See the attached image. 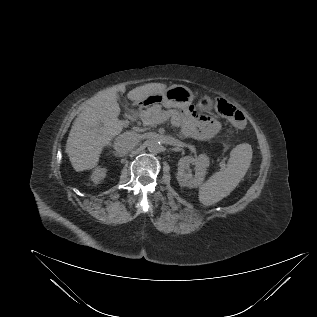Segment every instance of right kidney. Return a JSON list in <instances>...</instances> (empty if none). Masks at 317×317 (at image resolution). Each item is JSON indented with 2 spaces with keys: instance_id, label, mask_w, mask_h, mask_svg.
<instances>
[{
  "instance_id": "right-kidney-1",
  "label": "right kidney",
  "mask_w": 317,
  "mask_h": 317,
  "mask_svg": "<svg viewBox=\"0 0 317 317\" xmlns=\"http://www.w3.org/2000/svg\"><path fill=\"white\" fill-rule=\"evenodd\" d=\"M107 169L102 168V167H97L94 169L92 175H91V180L95 183L98 184L102 179L105 178L106 176Z\"/></svg>"
}]
</instances>
